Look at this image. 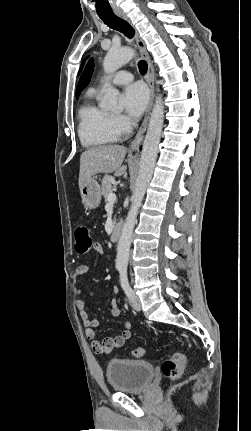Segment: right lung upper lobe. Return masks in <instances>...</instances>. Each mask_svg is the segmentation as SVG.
Listing matches in <instances>:
<instances>
[{"mask_svg":"<svg viewBox=\"0 0 251 431\" xmlns=\"http://www.w3.org/2000/svg\"><path fill=\"white\" fill-rule=\"evenodd\" d=\"M93 69H94V61L93 59H90V61L86 65V68L82 76L80 77V80L76 89V97H78L81 91L89 84L93 73Z\"/></svg>","mask_w":251,"mask_h":431,"instance_id":"1","label":"right lung upper lobe"}]
</instances>
